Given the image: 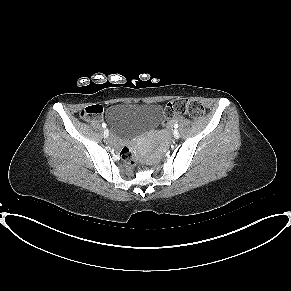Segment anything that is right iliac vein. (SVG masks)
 <instances>
[{
  "instance_id": "obj_1",
  "label": "right iliac vein",
  "mask_w": 291,
  "mask_h": 291,
  "mask_svg": "<svg viewBox=\"0 0 291 291\" xmlns=\"http://www.w3.org/2000/svg\"><path fill=\"white\" fill-rule=\"evenodd\" d=\"M103 135H104V138H108V136H109V131H108V129H105V130H104Z\"/></svg>"
}]
</instances>
